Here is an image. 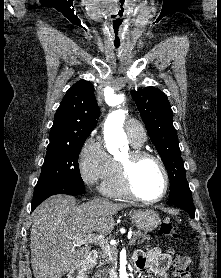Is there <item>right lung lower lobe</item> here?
<instances>
[{
    "instance_id": "98d812e1",
    "label": "right lung lower lobe",
    "mask_w": 221,
    "mask_h": 278,
    "mask_svg": "<svg viewBox=\"0 0 221 278\" xmlns=\"http://www.w3.org/2000/svg\"><path fill=\"white\" fill-rule=\"evenodd\" d=\"M84 193H85L84 188L68 186V185L58 186L56 188L49 190L45 195L41 196L39 199L33 200L31 210L33 211L42 201H44L45 199H47L52 195H56V194L81 195Z\"/></svg>"
}]
</instances>
